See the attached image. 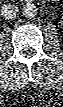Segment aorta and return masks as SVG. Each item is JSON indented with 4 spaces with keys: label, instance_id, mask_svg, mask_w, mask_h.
Instances as JSON below:
<instances>
[{
    "label": "aorta",
    "instance_id": "aorta-1",
    "mask_svg": "<svg viewBox=\"0 0 63 107\" xmlns=\"http://www.w3.org/2000/svg\"><path fill=\"white\" fill-rule=\"evenodd\" d=\"M38 13L37 7L32 3H27L22 8V14L25 18H34Z\"/></svg>",
    "mask_w": 63,
    "mask_h": 107
}]
</instances>
